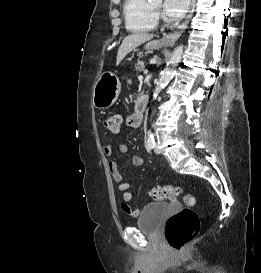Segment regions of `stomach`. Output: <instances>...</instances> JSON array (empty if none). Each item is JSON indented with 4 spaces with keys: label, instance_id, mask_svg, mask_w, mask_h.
Returning a JSON list of instances; mask_svg holds the SVG:
<instances>
[{
    "label": "stomach",
    "instance_id": "obj_1",
    "mask_svg": "<svg viewBox=\"0 0 261 273\" xmlns=\"http://www.w3.org/2000/svg\"><path fill=\"white\" fill-rule=\"evenodd\" d=\"M164 43L151 41L146 44V49L159 48ZM121 91L119 78L112 72L106 71L101 74L93 87V105L98 109H107L117 100Z\"/></svg>",
    "mask_w": 261,
    "mask_h": 273
}]
</instances>
